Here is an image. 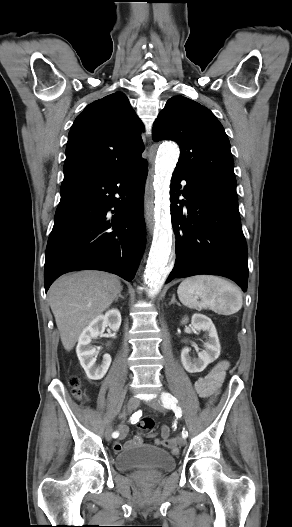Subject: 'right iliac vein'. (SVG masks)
<instances>
[{"label":"right iliac vein","instance_id":"right-iliac-vein-1","mask_svg":"<svg viewBox=\"0 0 292 527\" xmlns=\"http://www.w3.org/2000/svg\"><path fill=\"white\" fill-rule=\"evenodd\" d=\"M138 406H139V399L136 398V397H131L128 400L127 405H126V407H127V409L129 411L137 409ZM111 435H112V426H109L106 429V432H105V437H106L107 441L111 440Z\"/></svg>","mask_w":292,"mask_h":527}]
</instances>
